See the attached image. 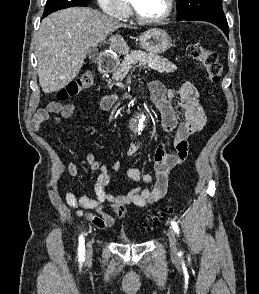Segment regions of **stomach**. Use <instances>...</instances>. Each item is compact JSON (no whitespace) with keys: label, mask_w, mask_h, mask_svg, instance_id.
<instances>
[{"label":"stomach","mask_w":259,"mask_h":294,"mask_svg":"<svg viewBox=\"0 0 259 294\" xmlns=\"http://www.w3.org/2000/svg\"><path fill=\"white\" fill-rule=\"evenodd\" d=\"M140 46L154 55L166 52L172 45L170 36L162 29L153 28L140 36Z\"/></svg>","instance_id":"1"}]
</instances>
